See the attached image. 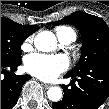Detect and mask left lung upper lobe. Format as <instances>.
I'll use <instances>...</instances> for the list:
<instances>
[{
    "label": "left lung upper lobe",
    "instance_id": "1",
    "mask_svg": "<svg viewBox=\"0 0 109 109\" xmlns=\"http://www.w3.org/2000/svg\"><path fill=\"white\" fill-rule=\"evenodd\" d=\"M69 23L82 35L81 57L69 74H77L97 62H109V26L99 17L77 11L55 24Z\"/></svg>",
    "mask_w": 109,
    "mask_h": 109
}]
</instances>
